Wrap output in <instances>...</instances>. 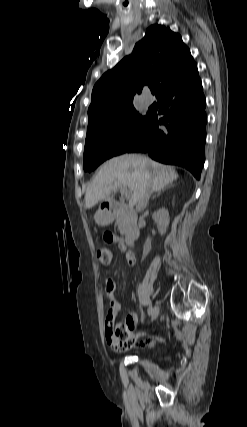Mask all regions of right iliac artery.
<instances>
[{"mask_svg":"<svg viewBox=\"0 0 247 427\" xmlns=\"http://www.w3.org/2000/svg\"><path fill=\"white\" fill-rule=\"evenodd\" d=\"M152 309H153L152 307L148 308L147 312H148L149 315L152 313Z\"/></svg>","mask_w":247,"mask_h":427,"instance_id":"82829eb1","label":"right iliac artery"}]
</instances>
